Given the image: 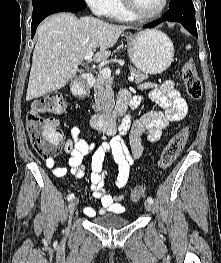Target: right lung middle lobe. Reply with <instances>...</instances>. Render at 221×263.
I'll return each mask as SVG.
<instances>
[{
    "mask_svg": "<svg viewBox=\"0 0 221 263\" xmlns=\"http://www.w3.org/2000/svg\"><path fill=\"white\" fill-rule=\"evenodd\" d=\"M83 0H32L33 3V12L42 9L44 7L59 4V3H68V2H80Z\"/></svg>",
    "mask_w": 221,
    "mask_h": 263,
    "instance_id": "dd1d6c3e",
    "label": "right lung middle lobe"
}]
</instances>
